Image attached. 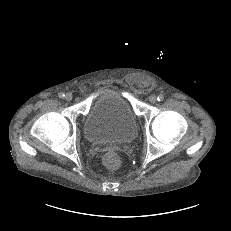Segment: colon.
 <instances>
[{"mask_svg":"<svg viewBox=\"0 0 231 231\" xmlns=\"http://www.w3.org/2000/svg\"><path fill=\"white\" fill-rule=\"evenodd\" d=\"M103 162L106 167L110 169H115L119 167L121 160L116 152L110 151L106 153L105 156L103 157Z\"/></svg>","mask_w":231,"mask_h":231,"instance_id":"colon-1","label":"colon"}]
</instances>
